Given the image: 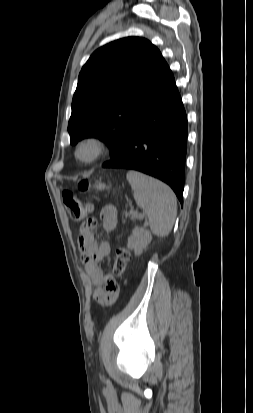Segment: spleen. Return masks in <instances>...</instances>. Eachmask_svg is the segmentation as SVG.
<instances>
[{"mask_svg":"<svg viewBox=\"0 0 253 413\" xmlns=\"http://www.w3.org/2000/svg\"><path fill=\"white\" fill-rule=\"evenodd\" d=\"M126 177L137 205L149 218L151 231L159 237L167 236L177 215L173 191L161 181L134 170L128 171Z\"/></svg>","mask_w":253,"mask_h":413,"instance_id":"spleen-1","label":"spleen"}]
</instances>
